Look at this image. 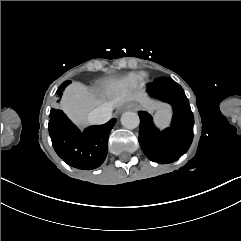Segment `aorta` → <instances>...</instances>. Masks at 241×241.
I'll use <instances>...</instances> for the list:
<instances>
[{"mask_svg":"<svg viewBox=\"0 0 241 241\" xmlns=\"http://www.w3.org/2000/svg\"><path fill=\"white\" fill-rule=\"evenodd\" d=\"M121 124L127 129H135L140 124V118L135 112H125L121 116Z\"/></svg>","mask_w":241,"mask_h":241,"instance_id":"1","label":"aorta"}]
</instances>
